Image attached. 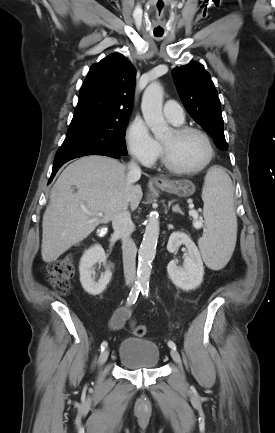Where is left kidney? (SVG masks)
Instances as JSON below:
<instances>
[{
    "label": "left kidney",
    "mask_w": 275,
    "mask_h": 433,
    "mask_svg": "<svg viewBox=\"0 0 275 433\" xmlns=\"http://www.w3.org/2000/svg\"><path fill=\"white\" fill-rule=\"evenodd\" d=\"M182 244L188 249V256L184 259L183 266H177V262L171 260L167 266V272L175 286L188 291L197 288L201 284L204 267L197 246L183 232H174L170 235L167 250L174 253Z\"/></svg>",
    "instance_id": "obj_1"
}]
</instances>
